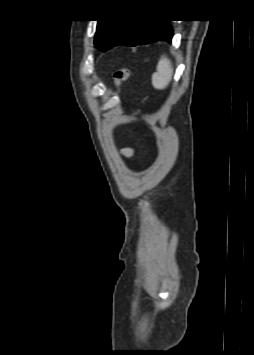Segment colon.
Masks as SVG:
<instances>
[{"mask_svg": "<svg viewBox=\"0 0 254 355\" xmlns=\"http://www.w3.org/2000/svg\"><path fill=\"white\" fill-rule=\"evenodd\" d=\"M133 76V72L127 68H121L115 71L113 75V82L116 89H119L123 82Z\"/></svg>", "mask_w": 254, "mask_h": 355, "instance_id": "5ec220e1", "label": "colon"}]
</instances>
